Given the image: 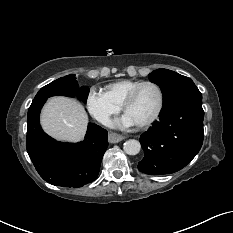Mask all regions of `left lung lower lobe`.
I'll return each mask as SVG.
<instances>
[{
    "mask_svg": "<svg viewBox=\"0 0 233 233\" xmlns=\"http://www.w3.org/2000/svg\"><path fill=\"white\" fill-rule=\"evenodd\" d=\"M202 99H187L162 110L159 121L140 137L144 158L138 169L149 175L170 174L199 152L204 137Z\"/></svg>",
    "mask_w": 233,
    "mask_h": 233,
    "instance_id": "0a47b994",
    "label": "left lung lower lobe"
}]
</instances>
